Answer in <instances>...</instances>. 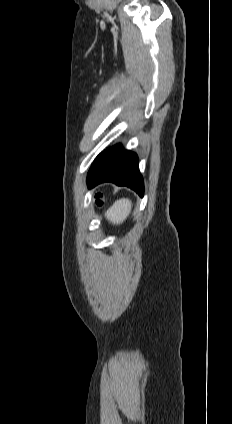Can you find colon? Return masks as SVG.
Wrapping results in <instances>:
<instances>
[{
	"instance_id": "obj_1",
	"label": "colon",
	"mask_w": 232,
	"mask_h": 424,
	"mask_svg": "<svg viewBox=\"0 0 232 424\" xmlns=\"http://www.w3.org/2000/svg\"><path fill=\"white\" fill-rule=\"evenodd\" d=\"M102 202H103L102 197L101 196H97L96 197V203H97V205L100 206L102 204Z\"/></svg>"
}]
</instances>
